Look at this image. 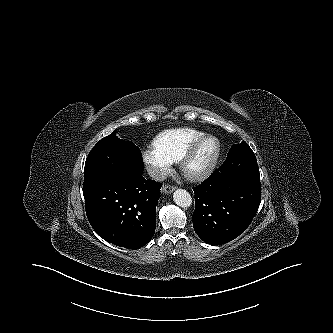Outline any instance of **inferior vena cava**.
Listing matches in <instances>:
<instances>
[{
	"label": "inferior vena cava",
	"instance_id": "602c4592",
	"mask_svg": "<svg viewBox=\"0 0 333 333\" xmlns=\"http://www.w3.org/2000/svg\"><path fill=\"white\" fill-rule=\"evenodd\" d=\"M147 173L152 179L157 181H164L167 178V172L158 167H147Z\"/></svg>",
	"mask_w": 333,
	"mask_h": 333
}]
</instances>
